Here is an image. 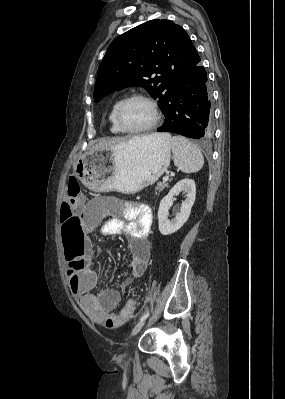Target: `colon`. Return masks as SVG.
<instances>
[{
    "label": "colon",
    "instance_id": "colon-1",
    "mask_svg": "<svg viewBox=\"0 0 285 399\" xmlns=\"http://www.w3.org/2000/svg\"><path fill=\"white\" fill-rule=\"evenodd\" d=\"M80 185L75 178L68 182L67 194L61 206V222L63 226V238L67 247L68 274L76 276L85 266L87 253L84 246L76 238V231L79 227L75 208L81 203ZM131 306L126 304L119 313L120 318H127L130 315Z\"/></svg>",
    "mask_w": 285,
    "mask_h": 399
}]
</instances>
